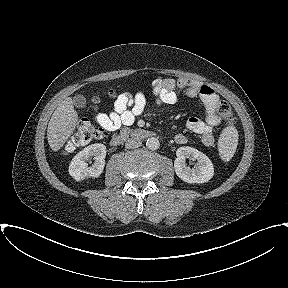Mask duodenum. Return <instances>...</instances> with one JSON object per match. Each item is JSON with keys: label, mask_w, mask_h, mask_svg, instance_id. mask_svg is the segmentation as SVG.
Listing matches in <instances>:
<instances>
[{"label": "duodenum", "mask_w": 288, "mask_h": 288, "mask_svg": "<svg viewBox=\"0 0 288 288\" xmlns=\"http://www.w3.org/2000/svg\"><path fill=\"white\" fill-rule=\"evenodd\" d=\"M154 135V132L143 128L123 129L118 135L112 138L111 144L118 146L129 138L146 139Z\"/></svg>", "instance_id": "1"}]
</instances>
